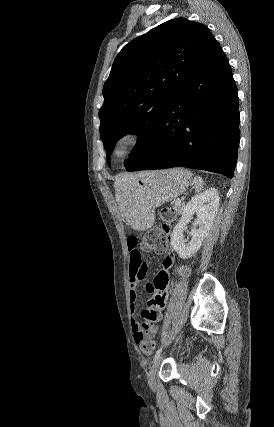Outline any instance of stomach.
Returning a JSON list of instances; mask_svg holds the SVG:
<instances>
[{
  "instance_id": "0dacf381",
  "label": "stomach",
  "mask_w": 274,
  "mask_h": 427,
  "mask_svg": "<svg viewBox=\"0 0 274 427\" xmlns=\"http://www.w3.org/2000/svg\"><path fill=\"white\" fill-rule=\"evenodd\" d=\"M191 180V172L183 168L134 176L124 194L123 215H133L134 229H149L154 223L155 208L184 194Z\"/></svg>"
}]
</instances>
